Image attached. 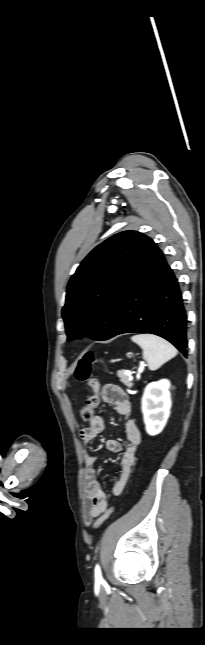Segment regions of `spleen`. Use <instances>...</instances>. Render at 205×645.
I'll return each instance as SVG.
<instances>
[{"label":"spleen","mask_w":205,"mask_h":645,"mask_svg":"<svg viewBox=\"0 0 205 645\" xmlns=\"http://www.w3.org/2000/svg\"><path fill=\"white\" fill-rule=\"evenodd\" d=\"M131 340L143 350V358L151 371L159 369L177 355L176 348L165 339L153 334H138Z\"/></svg>","instance_id":"spleen-1"}]
</instances>
